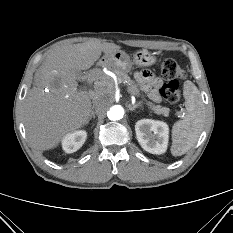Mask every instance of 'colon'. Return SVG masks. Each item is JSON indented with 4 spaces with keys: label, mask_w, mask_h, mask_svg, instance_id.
<instances>
[{
    "label": "colon",
    "mask_w": 233,
    "mask_h": 233,
    "mask_svg": "<svg viewBox=\"0 0 233 233\" xmlns=\"http://www.w3.org/2000/svg\"><path fill=\"white\" fill-rule=\"evenodd\" d=\"M161 75L167 81L160 93L170 104H176L180 99L178 80L186 76L185 70L173 59H166L161 66Z\"/></svg>",
    "instance_id": "1"
}]
</instances>
